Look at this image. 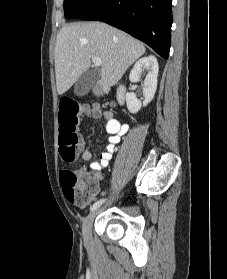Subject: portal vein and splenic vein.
I'll use <instances>...</instances> for the list:
<instances>
[{"label":"portal vein and splenic vein","instance_id":"18ae733b","mask_svg":"<svg viewBox=\"0 0 227 279\" xmlns=\"http://www.w3.org/2000/svg\"><path fill=\"white\" fill-rule=\"evenodd\" d=\"M92 62L94 63L95 66H101L102 61L98 57H92Z\"/></svg>","mask_w":227,"mask_h":279}]
</instances>
